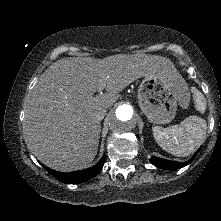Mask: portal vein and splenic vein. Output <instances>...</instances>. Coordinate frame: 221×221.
I'll return each mask as SVG.
<instances>
[{
	"label": "portal vein and splenic vein",
	"instance_id": "18ae733b",
	"mask_svg": "<svg viewBox=\"0 0 221 221\" xmlns=\"http://www.w3.org/2000/svg\"><path fill=\"white\" fill-rule=\"evenodd\" d=\"M105 87V83H102L100 86H99V91H102Z\"/></svg>",
	"mask_w": 221,
	"mask_h": 221
}]
</instances>
